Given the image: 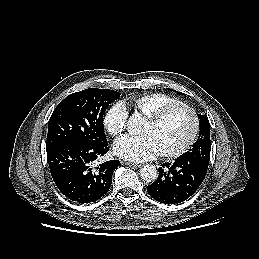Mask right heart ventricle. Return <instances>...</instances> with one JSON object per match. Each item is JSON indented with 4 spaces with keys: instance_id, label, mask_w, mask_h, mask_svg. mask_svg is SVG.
Returning <instances> with one entry per match:
<instances>
[{
    "instance_id": "right-heart-ventricle-1",
    "label": "right heart ventricle",
    "mask_w": 259,
    "mask_h": 259,
    "mask_svg": "<svg viewBox=\"0 0 259 259\" xmlns=\"http://www.w3.org/2000/svg\"><path fill=\"white\" fill-rule=\"evenodd\" d=\"M125 102L136 112L149 117L162 108L181 101L166 93L152 92L130 97Z\"/></svg>"
}]
</instances>
